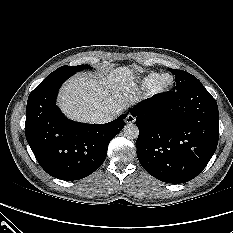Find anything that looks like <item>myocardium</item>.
Listing matches in <instances>:
<instances>
[{
  "mask_svg": "<svg viewBox=\"0 0 233 233\" xmlns=\"http://www.w3.org/2000/svg\"><path fill=\"white\" fill-rule=\"evenodd\" d=\"M168 78V82L164 83V79ZM174 77L170 73H162L155 81L154 85L151 88V94L161 95L170 91L174 86Z\"/></svg>",
  "mask_w": 233,
  "mask_h": 233,
  "instance_id": "obj_1",
  "label": "myocardium"
}]
</instances>
